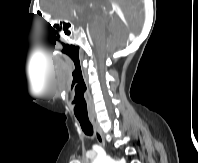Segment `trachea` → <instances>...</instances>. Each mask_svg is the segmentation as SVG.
<instances>
[{
	"mask_svg": "<svg viewBox=\"0 0 198 163\" xmlns=\"http://www.w3.org/2000/svg\"><path fill=\"white\" fill-rule=\"evenodd\" d=\"M76 117L81 125L83 132L86 135L92 136L93 135V126H92L89 118L88 117H80V116H76Z\"/></svg>",
	"mask_w": 198,
	"mask_h": 163,
	"instance_id": "3493384b",
	"label": "trachea"
}]
</instances>
